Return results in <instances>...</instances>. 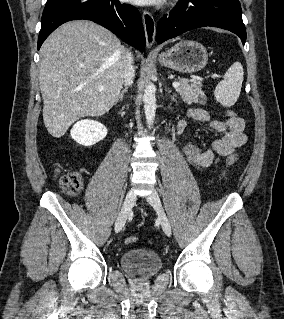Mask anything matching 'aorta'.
<instances>
[{"instance_id": "aorta-1", "label": "aorta", "mask_w": 284, "mask_h": 319, "mask_svg": "<svg viewBox=\"0 0 284 319\" xmlns=\"http://www.w3.org/2000/svg\"><path fill=\"white\" fill-rule=\"evenodd\" d=\"M156 87L153 83H148L144 90L143 101L145 109L146 123L151 127L155 120L156 113Z\"/></svg>"}]
</instances>
